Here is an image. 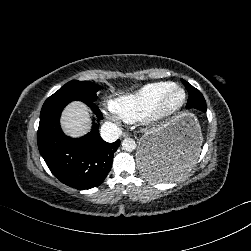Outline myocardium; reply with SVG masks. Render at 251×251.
Here are the masks:
<instances>
[{"mask_svg":"<svg viewBox=\"0 0 251 251\" xmlns=\"http://www.w3.org/2000/svg\"><path fill=\"white\" fill-rule=\"evenodd\" d=\"M170 87L182 92L183 101L175 112L170 113V114H165L163 112V108L170 96L169 90L168 89L165 90L147 115L151 123L155 126H160V127L168 126L169 124L176 121L183 114V112L185 111L187 107L188 94L186 90L175 83H171Z\"/></svg>","mask_w":251,"mask_h":251,"instance_id":"myocardium-1","label":"myocardium"}]
</instances>
